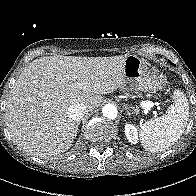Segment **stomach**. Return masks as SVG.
<instances>
[{"mask_svg":"<svg viewBox=\"0 0 196 196\" xmlns=\"http://www.w3.org/2000/svg\"><path fill=\"white\" fill-rule=\"evenodd\" d=\"M159 69L152 66L150 62L136 55H130L125 60V90L144 91L154 94L165 89L167 78ZM125 109H131L133 113H138V107L128 104Z\"/></svg>","mask_w":196,"mask_h":196,"instance_id":"obj_1","label":"stomach"}]
</instances>
